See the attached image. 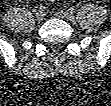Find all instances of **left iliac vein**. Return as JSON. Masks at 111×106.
Segmentation results:
<instances>
[{"label":"left iliac vein","instance_id":"4c4485c4","mask_svg":"<svg viewBox=\"0 0 111 106\" xmlns=\"http://www.w3.org/2000/svg\"><path fill=\"white\" fill-rule=\"evenodd\" d=\"M59 17H65L66 19L70 20V21H74V15L70 12H66V11H61L57 14Z\"/></svg>","mask_w":111,"mask_h":106}]
</instances>
